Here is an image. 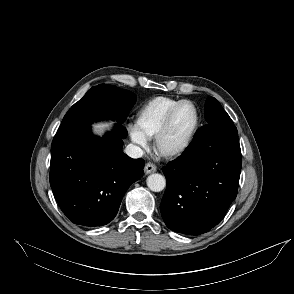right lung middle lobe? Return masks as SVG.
Masks as SVG:
<instances>
[{
    "label": "right lung middle lobe",
    "instance_id": "dd1d6c3e",
    "mask_svg": "<svg viewBox=\"0 0 294 294\" xmlns=\"http://www.w3.org/2000/svg\"><path fill=\"white\" fill-rule=\"evenodd\" d=\"M112 87L118 93L116 101L113 104L109 106L98 104L86 93L66 113L57 132L81 125H89L94 121L104 118L118 119L119 122H124L128 112L135 103L136 97L128 90H121L115 86Z\"/></svg>",
    "mask_w": 294,
    "mask_h": 294
}]
</instances>
